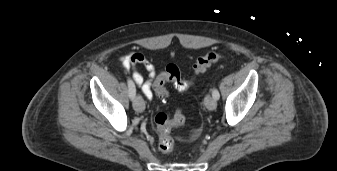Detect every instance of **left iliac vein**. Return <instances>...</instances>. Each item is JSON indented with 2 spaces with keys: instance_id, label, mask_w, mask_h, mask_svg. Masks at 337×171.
I'll return each mask as SVG.
<instances>
[{
  "instance_id": "1",
  "label": "left iliac vein",
  "mask_w": 337,
  "mask_h": 171,
  "mask_svg": "<svg viewBox=\"0 0 337 171\" xmlns=\"http://www.w3.org/2000/svg\"><path fill=\"white\" fill-rule=\"evenodd\" d=\"M205 106L209 109V110H214L217 106V102L216 100L210 96V95H206L205 96Z\"/></svg>"
}]
</instances>
